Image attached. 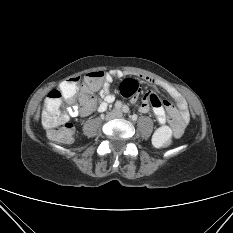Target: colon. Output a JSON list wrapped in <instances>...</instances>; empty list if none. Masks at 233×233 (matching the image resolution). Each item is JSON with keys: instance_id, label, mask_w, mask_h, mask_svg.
I'll list each match as a JSON object with an SVG mask.
<instances>
[{"instance_id": "obj_1", "label": "colon", "mask_w": 233, "mask_h": 233, "mask_svg": "<svg viewBox=\"0 0 233 233\" xmlns=\"http://www.w3.org/2000/svg\"><path fill=\"white\" fill-rule=\"evenodd\" d=\"M104 72L88 73L83 81L81 95L92 100V93L99 90L104 79ZM79 78L66 81L61 90H52L48 94L43 113V125L51 139L60 143H69L73 138L74 128L68 122V116L63 104V96H72ZM138 83L133 79H125L120 85V92L124 96H131L138 91ZM173 132L168 126L160 127L154 134L153 142L159 148H166L172 144Z\"/></svg>"}]
</instances>
